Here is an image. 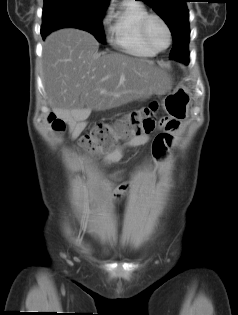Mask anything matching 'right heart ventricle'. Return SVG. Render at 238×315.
<instances>
[{"label":"right heart ventricle","mask_w":238,"mask_h":315,"mask_svg":"<svg viewBox=\"0 0 238 315\" xmlns=\"http://www.w3.org/2000/svg\"><path fill=\"white\" fill-rule=\"evenodd\" d=\"M148 10L134 0H124L108 18V39L115 48L134 56L153 57L158 52L142 38L141 24Z\"/></svg>","instance_id":"e07e8e85"}]
</instances>
